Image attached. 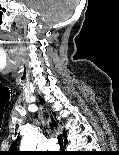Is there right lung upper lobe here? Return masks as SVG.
<instances>
[{
    "label": "right lung upper lobe",
    "mask_w": 119,
    "mask_h": 155,
    "mask_svg": "<svg viewBox=\"0 0 119 155\" xmlns=\"http://www.w3.org/2000/svg\"><path fill=\"white\" fill-rule=\"evenodd\" d=\"M51 125L55 127V126H57V123L54 120H52ZM65 136H66V134H65ZM16 147H17V142L14 141L11 144V146L7 152V155H21L19 151H16Z\"/></svg>",
    "instance_id": "right-lung-upper-lobe-1"
}]
</instances>
